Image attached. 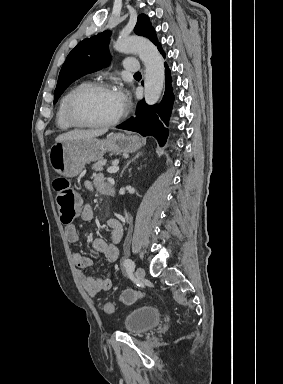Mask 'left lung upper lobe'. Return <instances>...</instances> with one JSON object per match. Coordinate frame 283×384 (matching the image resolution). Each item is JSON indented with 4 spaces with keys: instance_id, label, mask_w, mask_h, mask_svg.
<instances>
[{
    "instance_id": "left-lung-upper-lobe-1",
    "label": "left lung upper lobe",
    "mask_w": 283,
    "mask_h": 384,
    "mask_svg": "<svg viewBox=\"0 0 283 384\" xmlns=\"http://www.w3.org/2000/svg\"><path fill=\"white\" fill-rule=\"evenodd\" d=\"M135 33L150 39L158 45L154 28L145 14H140L134 29ZM110 41V31H104L91 38L84 39L69 53L64 62L56 89L54 103L65 89L83 75L100 70L108 65L110 55L107 50Z\"/></svg>"
}]
</instances>
